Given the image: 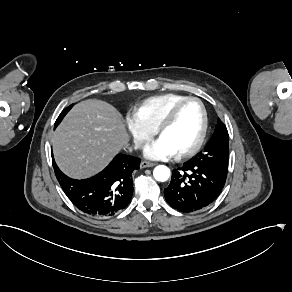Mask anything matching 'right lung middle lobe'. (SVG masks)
I'll use <instances>...</instances> for the list:
<instances>
[{
    "instance_id": "dd1d6c3e",
    "label": "right lung middle lobe",
    "mask_w": 292,
    "mask_h": 292,
    "mask_svg": "<svg viewBox=\"0 0 292 292\" xmlns=\"http://www.w3.org/2000/svg\"><path fill=\"white\" fill-rule=\"evenodd\" d=\"M71 107H72V105L69 106L68 108H66L64 111H62V113L59 115V117L56 120L55 127L61 122V120L66 115V113L71 109Z\"/></svg>"
}]
</instances>
